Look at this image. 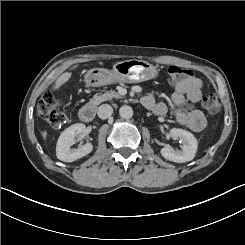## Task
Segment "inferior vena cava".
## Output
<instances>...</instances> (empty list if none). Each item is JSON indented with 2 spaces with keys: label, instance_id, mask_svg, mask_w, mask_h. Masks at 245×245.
<instances>
[{
  "label": "inferior vena cava",
  "instance_id": "1",
  "mask_svg": "<svg viewBox=\"0 0 245 245\" xmlns=\"http://www.w3.org/2000/svg\"><path fill=\"white\" fill-rule=\"evenodd\" d=\"M113 113V108L109 105V104H102L99 108H98V116L101 119H107L109 118Z\"/></svg>",
  "mask_w": 245,
  "mask_h": 245
}]
</instances>
